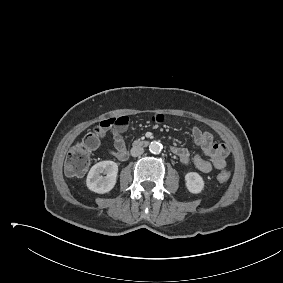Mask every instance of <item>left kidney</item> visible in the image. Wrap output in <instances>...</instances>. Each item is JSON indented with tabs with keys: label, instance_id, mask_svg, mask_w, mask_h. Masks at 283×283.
<instances>
[{
	"label": "left kidney",
	"instance_id": "obj_1",
	"mask_svg": "<svg viewBox=\"0 0 283 283\" xmlns=\"http://www.w3.org/2000/svg\"><path fill=\"white\" fill-rule=\"evenodd\" d=\"M186 187L189 192L198 194L204 189V180L197 172H188L185 175Z\"/></svg>",
	"mask_w": 283,
	"mask_h": 283
}]
</instances>
